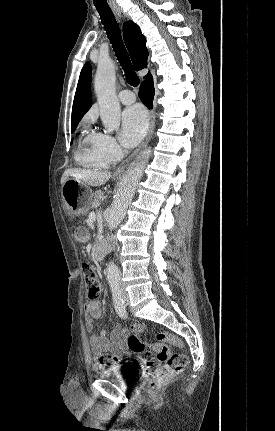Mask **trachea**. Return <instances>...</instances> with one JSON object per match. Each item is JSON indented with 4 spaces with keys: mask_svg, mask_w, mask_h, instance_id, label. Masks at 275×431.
Wrapping results in <instances>:
<instances>
[{
    "mask_svg": "<svg viewBox=\"0 0 275 431\" xmlns=\"http://www.w3.org/2000/svg\"><path fill=\"white\" fill-rule=\"evenodd\" d=\"M96 9L101 17L102 24L104 25L106 34L112 44L115 55L125 72L127 82L131 86L137 87L140 83V79L133 69L128 52L122 40L121 30L112 10L110 8L99 7H96Z\"/></svg>",
    "mask_w": 275,
    "mask_h": 431,
    "instance_id": "obj_1",
    "label": "trachea"
}]
</instances>
